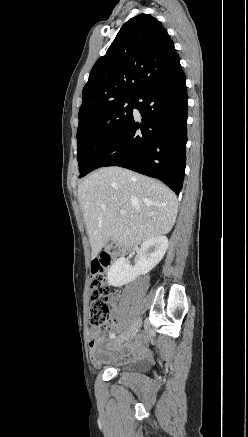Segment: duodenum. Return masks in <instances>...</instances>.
Segmentation results:
<instances>
[{
	"label": "duodenum",
	"mask_w": 248,
	"mask_h": 437,
	"mask_svg": "<svg viewBox=\"0 0 248 437\" xmlns=\"http://www.w3.org/2000/svg\"><path fill=\"white\" fill-rule=\"evenodd\" d=\"M102 255L105 256L106 260L111 263L115 257H116V253L111 251V252H107V250H102Z\"/></svg>",
	"instance_id": "410a0bca"
}]
</instances>
